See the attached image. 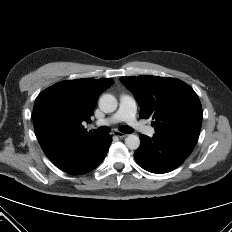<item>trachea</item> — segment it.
<instances>
[{
    "label": "trachea",
    "instance_id": "1",
    "mask_svg": "<svg viewBox=\"0 0 232 232\" xmlns=\"http://www.w3.org/2000/svg\"><path fill=\"white\" fill-rule=\"evenodd\" d=\"M119 130L125 134H130L133 132V129L129 126H121ZM109 132H110V128L107 126H102V127H99L97 130H95L96 134H101V135L108 134Z\"/></svg>",
    "mask_w": 232,
    "mask_h": 232
}]
</instances>
